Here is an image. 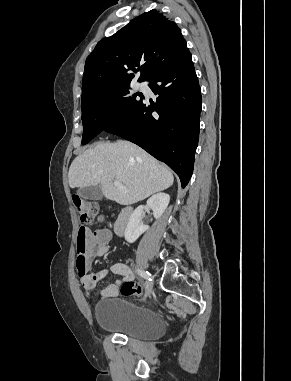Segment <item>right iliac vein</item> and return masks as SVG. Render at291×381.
Instances as JSON below:
<instances>
[{
	"instance_id": "obj_1",
	"label": "right iliac vein",
	"mask_w": 291,
	"mask_h": 381,
	"mask_svg": "<svg viewBox=\"0 0 291 381\" xmlns=\"http://www.w3.org/2000/svg\"><path fill=\"white\" fill-rule=\"evenodd\" d=\"M152 291H153L152 283H147L145 287V298L150 296L152 294Z\"/></svg>"
}]
</instances>
